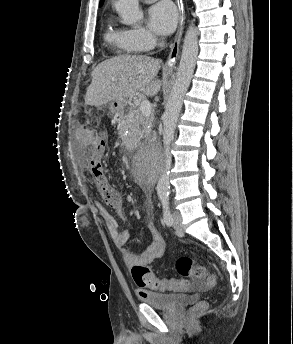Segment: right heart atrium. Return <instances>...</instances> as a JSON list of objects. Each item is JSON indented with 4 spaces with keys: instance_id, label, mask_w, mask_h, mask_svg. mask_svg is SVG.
Masks as SVG:
<instances>
[{
    "instance_id": "right-heart-atrium-1",
    "label": "right heart atrium",
    "mask_w": 293,
    "mask_h": 344,
    "mask_svg": "<svg viewBox=\"0 0 293 344\" xmlns=\"http://www.w3.org/2000/svg\"><path fill=\"white\" fill-rule=\"evenodd\" d=\"M129 44L136 51H148L154 48L157 38L142 26H133L124 30Z\"/></svg>"
}]
</instances>
